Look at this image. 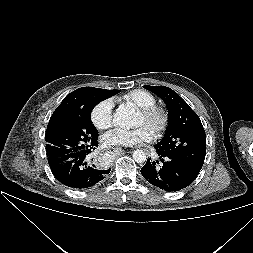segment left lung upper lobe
Listing matches in <instances>:
<instances>
[{"label":"left lung upper lobe","instance_id":"1","mask_svg":"<svg viewBox=\"0 0 253 253\" xmlns=\"http://www.w3.org/2000/svg\"><path fill=\"white\" fill-rule=\"evenodd\" d=\"M144 88L161 97L168 109V126L155 149L200 172L206 154V134L198 115L172 89L149 85Z\"/></svg>","mask_w":253,"mask_h":253}]
</instances>
